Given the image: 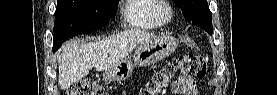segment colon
<instances>
[{
  "mask_svg": "<svg viewBox=\"0 0 277 95\" xmlns=\"http://www.w3.org/2000/svg\"><path fill=\"white\" fill-rule=\"evenodd\" d=\"M202 78L207 73V61L205 56L198 54H185L168 62L153 76L141 94L160 95L164 94L170 81L176 73ZM68 95H104L105 88L93 80H82L72 84L68 89Z\"/></svg>",
  "mask_w": 277,
  "mask_h": 95,
  "instance_id": "5ec220e1",
  "label": "colon"
}]
</instances>
